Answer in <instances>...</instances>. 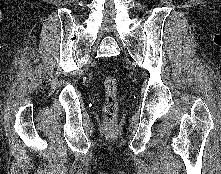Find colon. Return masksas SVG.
<instances>
[{"label":"colon","mask_w":221,"mask_h":174,"mask_svg":"<svg viewBox=\"0 0 221 174\" xmlns=\"http://www.w3.org/2000/svg\"><path fill=\"white\" fill-rule=\"evenodd\" d=\"M105 89V105H104V115L107 123L112 125L117 113V79L114 76H106L103 81Z\"/></svg>","instance_id":"colon-1"}]
</instances>
